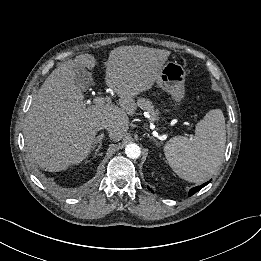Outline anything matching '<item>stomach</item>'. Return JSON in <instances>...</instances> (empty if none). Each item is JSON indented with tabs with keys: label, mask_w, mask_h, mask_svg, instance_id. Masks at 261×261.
Returning a JSON list of instances; mask_svg holds the SVG:
<instances>
[{
	"label": "stomach",
	"mask_w": 261,
	"mask_h": 261,
	"mask_svg": "<svg viewBox=\"0 0 261 261\" xmlns=\"http://www.w3.org/2000/svg\"><path fill=\"white\" fill-rule=\"evenodd\" d=\"M185 76L186 72L182 65L176 61H169L162 67L156 84L179 103L185 95Z\"/></svg>",
	"instance_id": "obj_1"
}]
</instances>
